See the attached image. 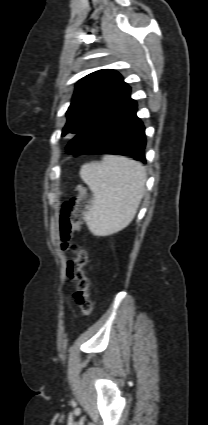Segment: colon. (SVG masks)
Instances as JSON below:
<instances>
[{
    "mask_svg": "<svg viewBox=\"0 0 208 425\" xmlns=\"http://www.w3.org/2000/svg\"><path fill=\"white\" fill-rule=\"evenodd\" d=\"M73 189L77 194L67 199L63 204L59 221V232L62 249L74 255L72 259L66 262V278L75 283L76 289L73 298L82 314L87 316L92 311L89 280L84 272V268L88 263V254L79 244L72 242L73 236L81 228L87 190L82 183L75 184Z\"/></svg>",
    "mask_w": 208,
    "mask_h": 425,
    "instance_id": "obj_1",
    "label": "colon"
}]
</instances>
